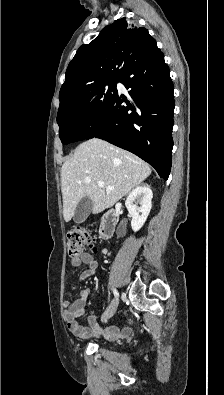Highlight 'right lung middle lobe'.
<instances>
[{"mask_svg":"<svg viewBox=\"0 0 224 395\" xmlns=\"http://www.w3.org/2000/svg\"><path fill=\"white\" fill-rule=\"evenodd\" d=\"M117 82L120 79L95 84L60 103L57 123L63 144L83 140L87 136L92 125L117 95Z\"/></svg>","mask_w":224,"mask_h":395,"instance_id":"dd1d6c3e","label":"right lung middle lobe"}]
</instances>
